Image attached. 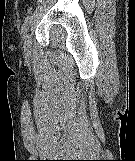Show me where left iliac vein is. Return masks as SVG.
Returning <instances> with one entry per match:
<instances>
[{"mask_svg":"<svg viewBox=\"0 0 135 161\" xmlns=\"http://www.w3.org/2000/svg\"><path fill=\"white\" fill-rule=\"evenodd\" d=\"M31 50H32L31 37H30V34L27 33V34H25L24 39H23V52H24V55L29 56L31 54Z\"/></svg>","mask_w":135,"mask_h":161,"instance_id":"obj_1","label":"left iliac vein"}]
</instances>
